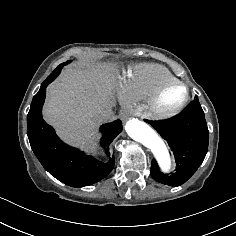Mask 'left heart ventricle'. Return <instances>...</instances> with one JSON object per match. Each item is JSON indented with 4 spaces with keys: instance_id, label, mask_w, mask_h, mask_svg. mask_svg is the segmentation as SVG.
Segmentation results:
<instances>
[{
    "instance_id": "1",
    "label": "left heart ventricle",
    "mask_w": 236,
    "mask_h": 236,
    "mask_svg": "<svg viewBox=\"0 0 236 236\" xmlns=\"http://www.w3.org/2000/svg\"><path fill=\"white\" fill-rule=\"evenodd\" d=\"M184 94V90L180 87L169 90L162 100L164 107H171L179 102Z\"/></svg>"
}]
</instances>
